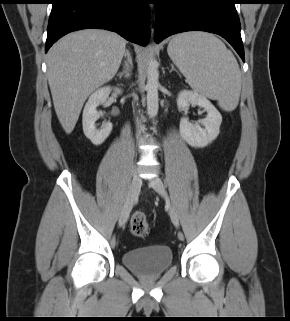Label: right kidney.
<instances>
[{"mask_svg":"<svg viewBox=\"0 0 290 321\" xmlns=\"http://www.w3.org/2000/svg\"><path fill=\"white\" fill-rule=\"evenodd\" d=\"M120 94L121 89L105 86L92 93L84 107L82 116L83 132L85 136L94 144H102L112 131V123L107 122L100 129L96 128L95 122L100 118V113L96 110L101 102H105L111 91Z\"/></svg>","mask_w":290,"mask_h":321,"instance_id":"1","label":"right kidney"}]
</instances>
